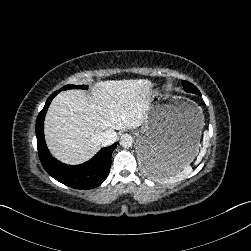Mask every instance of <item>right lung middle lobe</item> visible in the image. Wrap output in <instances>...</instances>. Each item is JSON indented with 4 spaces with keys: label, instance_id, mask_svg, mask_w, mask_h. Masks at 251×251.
<instances>
[{
    "label": "right lung middle lobe",
    "instance_id": "1",
    "mask_svg": "<svg viewBox=\"0 0 251 251\" xmlns=\"http://www.w3.org/2000/svg\"><path fill=\"white\" fill-rule=\"evenodd\" d=\"M88 87L86 85H66L63 88H61L60 90H58L59 92L62 90H68V89H87Z\"/></svg>",
    "mask_w": 251,
    "mask_h": 251
}]
</instances>
